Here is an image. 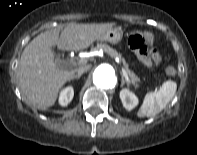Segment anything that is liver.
I'll use <instances>...</instances> for the list:
<instances>
[{"label":"liver","mask_w":197,"mask_h":155,"mask_svg":"<svg viewBox=\"0 0 197 155\" xmlns=\"http://www.w3.org/2000/svg\"><path fill=\"white\" fill-rule=\"evenodd\" d=\"M113 25L71 23L62 31L57 27L35 37L23 50L18 65L22 95L43 109L54 105L60 89L72 79L76 70L67 69L63 62L59 67L51 47L66 51L86 49Z\"/></svg>","instance_id":"1"}]
</instances>
